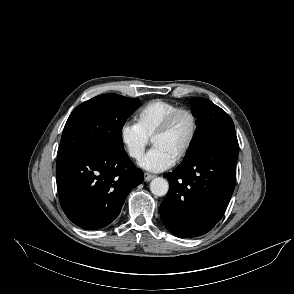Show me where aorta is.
Returning a JSON list of instances; mask_svg holds the SVG:
<instances>
[{
	"instance_id": "1",
	"label": "aorta",
	"mask_w": 294,
	"mask_h": 294,
	"mask_svg": "<svg viewBox=\"0 0 294 294\" xmlns=\"http://www.w3.org/2000/svg\"><path fill=\"white\" fill-rule=\"evenodd\" d=\"M169 184L166 179L157 177L150 182V190L156 196H164L167 194Z\"/></svg>"
}]
</instances>
